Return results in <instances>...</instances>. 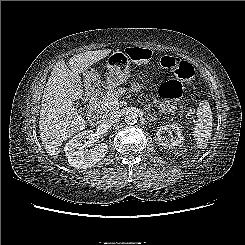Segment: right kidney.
Instances as JSON below:
<instances>
[{
  "label": "right kidney",
  "instance_id": "obj_1",
  "mask_svg": "<svg viewBox=\"0 0 245 245\" xmlns=\"http://www.w3.org/2000/svg\"><path fill=\"white\" fill-rule=\"evenodd\" d=\"M93 131H83L70 139L64 147L69 164L77 169H87L95 165L105 157L108 146L105 143L96 145L93 149H87L86 139L91 140Z\"/></svg>",
  "mask_w": 245,
  "mask_h": 245
}]
</instances>
